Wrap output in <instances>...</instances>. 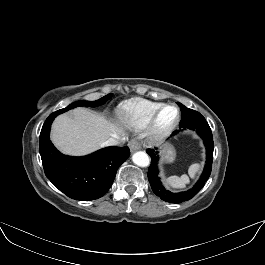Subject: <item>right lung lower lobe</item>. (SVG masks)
<instances>
[{"mask_svg":"<svg viewBox=\"0 0 265 265\" xmlns=\"http://www.w3.org/2000/svg\"><path fill=\"white\" fill-rule=\"evenodd\" d=\"M59 114H50L40 133L39 151L45 175L72 199L88 201L102 197L111 187L119 166L130 156L129 148L111 146L85 157L63 155L49 139L51 124Z\"/></svg>","mask_w":265,"mask_h":265,"instance_id":"98d812e1","label":"right lung lower lobe"}]
</instances>
